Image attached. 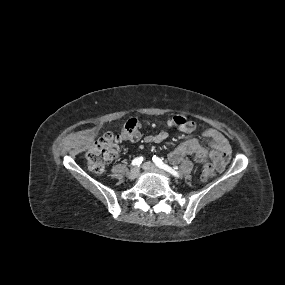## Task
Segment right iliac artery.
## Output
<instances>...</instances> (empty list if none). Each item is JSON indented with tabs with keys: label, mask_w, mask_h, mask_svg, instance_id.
<instances>
[{
	"label": "right iliac artery",
	"mask_w": 285,
	"mask_h": 285,
	"mask_svg": "<svg viewBox=\"0 0 285 285\" xmlns=\"http://www.w3.org/2000/svg\"><path fill=\"white\" fill-rule=\"evenodd\" d=\"M142 161H143V157H137V158H135L133 161H132V165L133 166H136V165H140L141 163H142Z\"/></svg>",
	"instance_id": "1"
}]
</instances>
